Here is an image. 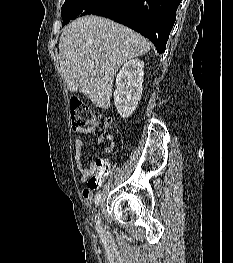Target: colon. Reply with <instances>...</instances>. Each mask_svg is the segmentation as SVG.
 <instances>
[{"instance_id": "5ec220e1", "label": "colon", "mask_w": 233, "mask_h": 263, "mask_svg": "<svg viewBox=\"0 0 233 263\" xmlns=\"http://www.w3.org/2000/svg\"><path fill=\"white\" fill-rule=\"evenodd\" d=\"M70 115L73 128L76 131L85 127H92L97 133L103 134L110 129L112 125L109 118L96 116L86 104L77 99L71 102ZM96 169V174L87 182L89 189L101 188L100 183L106 180V173L108 171L107 161L104 159L97 160Z\"/></svg>"}]
</instances>
